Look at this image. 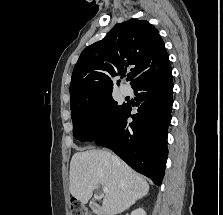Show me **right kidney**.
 <instances>
[{"label":"right kidney","mask_w":223,"mask_h":215,"mask_svg":"<svg viewBox=\"0 0 223 215\" xmlns=\"http://www.w3.org/2000/svg\"><path fill=\"white\" fill-rule=\"evenodd\" d=\"M131 215H146V211H144L142 207H138V209H134V211H131Z\"/></svg>","instance_id":"ca27d5eb"}]
</instances>
